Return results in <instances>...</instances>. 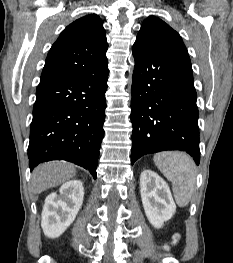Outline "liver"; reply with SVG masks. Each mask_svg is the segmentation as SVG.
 <instances>
[{
  "mask_svg": "<svg viewBox=\"0 0 233 263\" xmlns=\"http://www.w3.org/2000/svg\"><path fill=\"white\" fill-rule=\"evenodd\" d=\"M75 174V167L66 162L53 161L41 164L32 172L31 191L40 194L70 180Z\"/></svg>",
  "mask_w": 233,
  "mask_h": 263,
  "instance_id": "1",
  "label": "liver"
}]
</instances>
